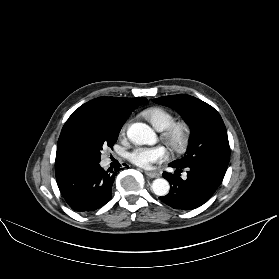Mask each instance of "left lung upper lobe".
Segmentation results:
<instances>
[{"label":"left lung upper lobe","instance_id":"5c2ea615","mask_svg":"<svg viewBox=\"0 0 279 279\" xmlns=\"http://www.w3.org/2000/svg\"><path fill=\"white\" fill-rule=\"evenodd\" d=\"M153 101L178 111L192 129L188 152L172 164L180 168L193 164L208 165L225 175L230 149L226 127L219 113L209 104L187 94L163 96Z\"/></svg>","mask_w":279,"mask_h":279}]
</instances>
